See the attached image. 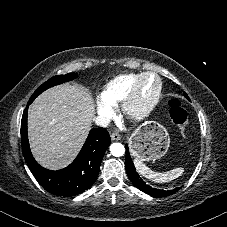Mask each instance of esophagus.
<instances>
[{
  "label": "esophagus",
  "instance_id": "esophagus-1",
  "mask_svg": "<svg viewBox=\"0 0 227 227\" xmlns=\"http://www.w3.org/2000/svg\"><path fill=\"white\" fill-rule=\"evenodd\" d=\"M110 137H111V140H113V141H118V140H120V139H121L120 134H119V133H117V132H113V133H111Z\"/></svg>",
  "mask_w": 227,
  "mask_h": 227
}]
</instances>
